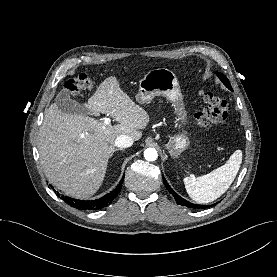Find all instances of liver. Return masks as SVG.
Instances as JSON below:
<instances>
[{"label": "liver", "mask_w": 277, "mask_h": 277, "mask_svg": "<svg viewBox=\"0 0 277 277\" xmlns=\"http://www.w3.org/2000/svg\"><path fill=\"white\" fill-rule=\"evenodd\" d=\"M91 115L113 117L106 125L88 115L66 114L53 103L45 111L38 134L40 163L48 181L75 198H87L102 185L118 136L137 141L150 117L120 88L115 76L106 78L87 103Z\"/></svg>", "instance_id": "obj_1"}]
</instances>
